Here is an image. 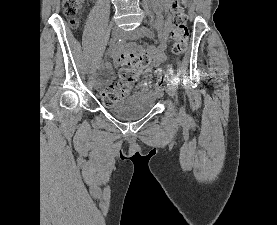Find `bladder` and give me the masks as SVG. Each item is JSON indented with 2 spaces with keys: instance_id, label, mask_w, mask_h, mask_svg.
I'll return each instance as SVG.
<instances>
[{
  "instance_id": "bladder-1",
  "label": "bladder",
  "mask_w": 277,
  "mask_h": 225,
  "mask_svg": "<svg viewBox=\"0 0 277 225\" xmlns=\"http://www.w3.org/2000/svg\"><path fill=\"white\" fill-rule=\"evenodd\" d=\"M158 97V93L152 89H141L117 103L107 104V109L119 119L138 120L155 107Z\"/></svg>"
}]
</instances>
